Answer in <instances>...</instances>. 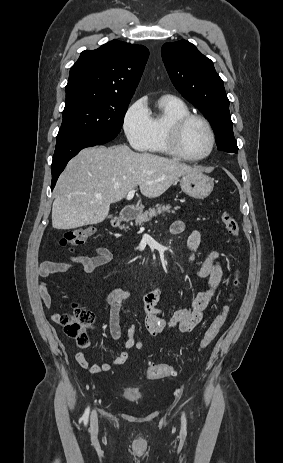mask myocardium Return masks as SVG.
Masks as SVG:
<instances>
[{
	"label": "myocardium",
	"instance_id": "f54148a6",
	"mask_svg": "<svg viewBox=\"0 0 283 463\" xmlns=\"http://www.w3.org/2000/svg\"><path fill=\"white\" fill-rule=\"evenodd\" d=\"M192 121H200L201 123H203L210 137V146H209L208 151L205 154L198 156V157H190L184 154L180 147V139H181L183 130ZM215 143H216V136H215V132H214V129L211 123L205 117L199 114L189 113L187 115L179 117L176 120H174L167 129L166 145H167V149L169 153L172 156L176 157L177 159H180L185 162L195 163V162H200V161L207 159L213 153L214 148H215Z\"/></svg>",
	"mask_w": 283,
	"mask_h": 463
}]
</instances>
